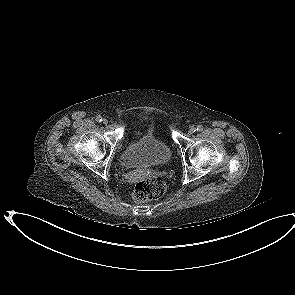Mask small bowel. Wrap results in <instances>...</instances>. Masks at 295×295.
<instances>
[{
    "label": "small bowel",
    "mask_w": 295,
    "mask_h": 295,
    "mask_svg": "<svg viewBox=\"0 0 295 295\" xmlns=\"http://www.w3.org/2000/svg\"><path fill=\"white\" fill-rule=\"evenodd\" d=\"M153 177V172L151 170H138L127 172L124 175V180L126 182L137 181L138 179H151Z\"/></svg>",
    "instance_id": "1"
}]
</instances>
